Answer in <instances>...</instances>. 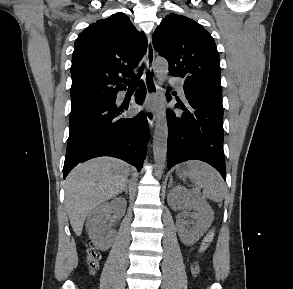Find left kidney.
I'll return each instance as SVG.
<instances>
[{
	"label": "left kidney",
	"instance_id": "left-kidney-1",
	"mask_svg": "<svg viewBox=\"0 0 293 289\" xmlns=\"http://www.w3.org/2000/svg\"><path fill=\"white\" fill-rule=\"evenodd\" d=\"M170 195V205H185L186 207L193 208L195 211L192 215L194 218L192 228L186 227V223L184 221H181L177 224L180 240L186 245H193L206 233L210 227L214 219V212L211 206L205 200L192 194L184 187H175L171 191Z\"/></svg>",
	"mask_w": 293,
	"mask_h": 289
}]
</instances>
